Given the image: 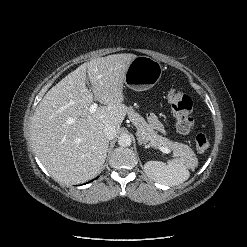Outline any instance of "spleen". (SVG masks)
Instances as JSON below:
<instances>
[{"label": "spleen", "mask_w": 247, "mask_h": 247, "mask_svg": "<svg viewBox=\"0 0 247 247\" xmlns=\"http://www.w3.org/2000/svg\"><path fill=\"white\" fill-rule=\"evenodd\" d=\"M144 169L151 180L169 186L181 184L190 176L189 164L183 158L172 159L168 164L161 161H148Z\"/></svg>", "instance_id": "spleen-1"}]
</instances>
